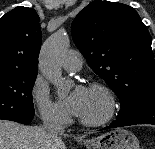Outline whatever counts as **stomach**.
I'll use <instances>...</instances> for the list:
<instances>
[{"instance_id":"1","label":"stomach","mask_w":155,"mask_h":149,"mask_svg":"<svg viewBox=\"0 0 155 149\" xmlns=\"http://www.w3.org/2000/svg\"><path fill=\"white\" fill-rule=\"evenodd\" d=\"M87 149H140L137 137L126 129H114L84 142Z\"/></svg>"}]
</instances>
